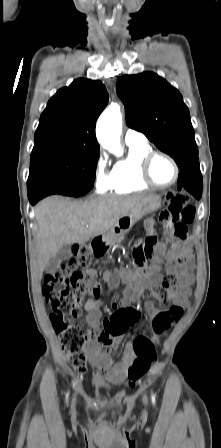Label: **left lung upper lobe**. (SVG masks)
<instances>
[{
	"label": "left lung upper lobe",
	"instance_id": "left-lung-upper-lobe-1",
	"mask_svg": "<svg viewBox=\"0 0 221 448\" xmlns=\"http://www.w3.org/2000/svg\"><path fill=\"white\" fill-rule=\"evenodd\" d=\"M117 94L129 127L144 133L181 170L199 167L190 113L178 90L157 74L144 72L118 78Z\"/></svg>",
	"mask_w": 221,
	"mask_h": 448
}]
</instances>
